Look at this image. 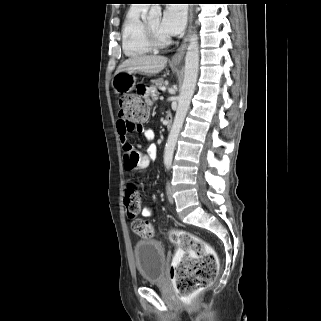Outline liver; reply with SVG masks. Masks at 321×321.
Returning <instances> with one entry per match:
<instances>
[{
    "label": "liver",
    "instance_id": "obj_1",
    "mask_svg": "<svg viewBox=\"0 0 321 321\" xmlns=\"http://www.w3.org/2000/svg\"><path fill=\"white\" fill-rule=\"evenodd\" d=\"M167 64V58L157 55L134 56L125 60L116 70V74L129 71L154 75L161 72Z\"/></svg>",
    "mask_w": 321,
    "mask_h": 321
}]
</instances>
